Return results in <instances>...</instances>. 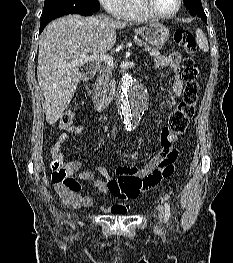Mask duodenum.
<instances>
[{
    "label": "duodenum",
    "mask_w": 233,
    "mask_h": 263,
    "mask_svg": "<svg viewBox=\"0 0 233 263\" xmlns=\"http://www.w3.org/2000/svg\"><path fill=\"white\" fill-rule=\"evenodd\" d=\"M95 76V71L93 69L87 70L83 74V81L85 83L90 82ZM115 82H118V79L115 78H109L108 80H104L103 82H100V85H97L93 88L94 94H92V99L97 100L99 102L97 104V110L102 111L104 108L107 107L109 103L112 102V99L110 98V95L113 92H116L118 89V86L113 87L112 85L115 84Z\"/></svg>",
    "instance_id": "1"
}]
</instances>
